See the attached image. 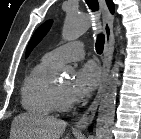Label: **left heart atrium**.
<instances>
[{
    "instance_id": "39dd6f15",
    "label": "left heart atrium",
    "mask_w": 141,
    "mask_h": 139,
    "mask_svg": "<svg viewBox=\"0 0 141 139\" xmlns=\"http://www.w3.org/2000/svg\"><path fill=\"white\" fill-rule=\"evenodd\" d=\"M100 81V72L93 63L83 65L73 80L68 96L71 101L81 102L87 99L96 89Z\"/></svg>"
}]
</instances>
